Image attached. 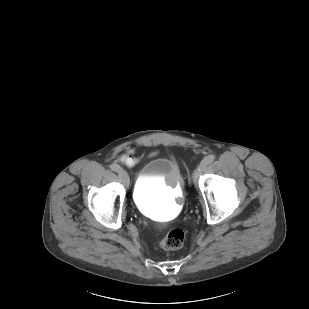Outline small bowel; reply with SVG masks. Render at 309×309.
Instances as JSON below:
<instances>
[{
  "label": "small bowel",
  "mask_w": 309,
  "mask_h": 309,
  "mask_svg": "<svg viewBox=\"0 0 309 309\" xmlns=\"http://www.w3.org/2000/svg\"><path fill=\"white\" fill-rule=\"evenodd\" d=\"M119 161L124 163V164H126V165H128V166H133V165H135L137 163V160H136V158H134L132 156V152L131 151L121 155L119 157Z\"/></svg>",
  "instance_id": "obj_1"
}]
</instances>
